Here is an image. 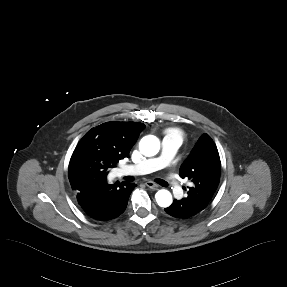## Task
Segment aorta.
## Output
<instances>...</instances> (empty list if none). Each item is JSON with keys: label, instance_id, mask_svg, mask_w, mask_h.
<instances>
[{"label": "aorta", "instance_id": "obj_1", "mask_svg": "<svg viewBox=\"0 0 287 287\" xmlns=\"http://www.w3.org/2000/svg\"><path fill=\"white\" fill-rule=\"evenodd\" d=\"M139 150L147 157L154 156L160 150V141L154 135H147L140 140ZM155 199L160 207H169L173 202L172 194L166 189L159 190L155 194Z\"/></svg>", "mask_w": 287, "mask_h": 287}]
</instances>
